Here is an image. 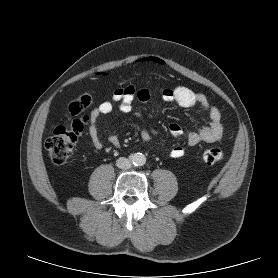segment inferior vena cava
I'll return each mask as SVG.
<instances>
[{
  "label": "inferior vena cava",
  "mask_w": 278,
  "mask_h": 278,
  "mask_svg": "<svg viewBox=\"0 0 278 278\" xmlns=\"http://www.w3.org/2000/svg\"><path fill=\"white\" fill-rule=\"evenodd\" d=\"M116 166L120 169H129L131 167V161L125 157H120L116 160Z\"/></svg>",
  "instance_id": "1"
}]
</instances>
